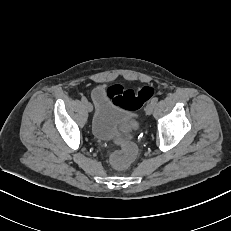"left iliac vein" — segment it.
<instances>
[{
	"label": "left iliac vein",
	"mask_w": 231,
	"mask_h": 231,
	"mask_svg": "<svg viewBox=\"0 0 231 231\" xmlns=\"http://www.w3.org/2000/svg\"><path fill=\"white\" fill-rule=\"evenodd\" d=\"M154 107H155V103L154 102H150L147 106H146V114L147 115H151L153 113V110H154Z\"/></svg>",
	"instance_id": "4c4485c4"
}]
</instances>
